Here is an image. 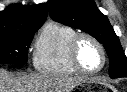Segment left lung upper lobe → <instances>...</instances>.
Here are the masks:
<instances>
[{
  "label": "left lung upper lobe",
  "instance_id": "obj_1",
  "mask_svg": "<svg viewBox=\"0 0 127 92\" xmlns=\"http://www.w3.org/2000/svg\"><path fill=\"white\" fill-rule=\"evenodd\" d=\"M49 13L53 20L89 33L103 44L110 58L111 78L127 77V57L120 41L93 0H52Z\"/></svg>",
  "mask_w": 127,
  "mask_h": 92
}]
</instances>
